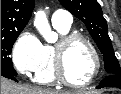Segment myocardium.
<instances>
[{"label": "myocardium", "mask_w": 121, "mask_h": 94, "mask_svg": "<svg viewBox=\"0 0 121 94\" xmlns=\"http://www.w3.org/2000/svg\"><path fill=\"white\" fill-rule=\"evenodd\" d=\"M76 41H82L89 48L95 63L93 75L88 81L82 83H75L70 80L65 69L66 50L73 42ZM53 70L56 80L61 84L75 88L85 87L89 86L97 79L101 70V59L94 44L87 37L78 33H70L62 36L53 46Z\"/></svg>", "instance_id": "obj_1"}]
</instances>
